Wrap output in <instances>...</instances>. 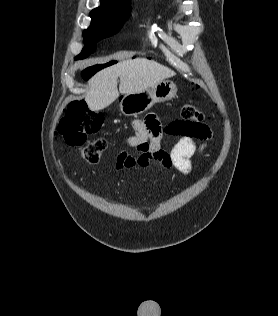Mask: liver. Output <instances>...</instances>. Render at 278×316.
Segmentation results:
<instances>
[{"mask_svg":"<svg viewBox=\"0 0 278 316\" xmlns=\"http://www.w3.org/2000/svg\"><path fill=\"white\" fill-rule=\"evenodd\" d=\"M174 75V71L153 60L146 58L124 60L99 71L89 80L86 102L91 110H101L113 103L118 98L119 92L140 93Z\"/></svg>","mask_w":278,"mask_h":316,"instance_id":"liver-1","label":"liver"}]
</instances>
